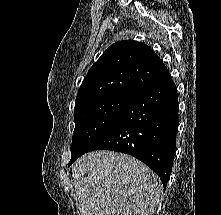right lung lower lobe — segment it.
Listing matches in <instances>:
<instances>
[{
  "label": "right lung lower lobe",
  "mask_w": 221,
  "mask_h": 215,
  "mask_svg": "<svg viewBox=\"0 0 221 215\" xmlns=\"http://www.w3.org/2000/svg\"><path fill=\"white\" fill-rule=\"evenodd\" d=\"M177 126V89L168 74L134 96L88 152L106 149L130 154L156 172L165 186L172 170Z\"/></svg>",
  "instance_id": "obj_1"
}]
</instances>
